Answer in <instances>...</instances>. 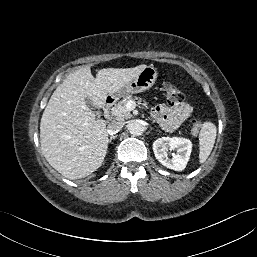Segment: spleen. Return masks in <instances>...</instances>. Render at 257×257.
I'll return each instance as SVG.
<instances>
[{"instance_id": "obj_1", "label": "spleen", "mask_w": 257, "mask_h": 257, "mask_svg": "<svg viewBox=\"0 0 257 257\" xmlns=\"http://www.w3.org/2000/svg\"><path fill=\"white\" fill-rule=\"evenodd\" d=\"M217 128L212 122H204L199 133V162L204 163L215 143Z\"/></svg>"}]
</instances>
